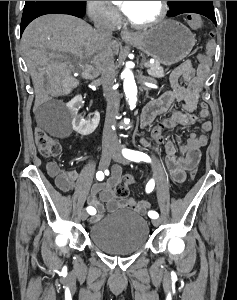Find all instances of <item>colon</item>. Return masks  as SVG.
I'll return each mask as SVG.
<instances>
[{"instance_id": "5ec220e1", "label": "colon", "mask_w": 237, "mask_h": 300, "mask_svg": "<svg viewBox=\"0 0 237 300\" xmlns=\"http://www.w3.org/2000/svg\"><path fill=\"white\" fill-rule=\"evenodd\" d=\"M187 22L192 28L203 27V19L198 14H189ZM216 51V43L211 40L208 43V52L205 55L198 57L199 64L204 67H209L212 62V57ZM36 146L39 153L44 157H53L61 153V146L58 141L49 136L43 129L39 128L36 131ZM197 175L196 167L190 170V177L193 179ZM133 183V178L130 176L123 177L115 187V196L119 199H124L129 194V186Z\"/></svg>"}]
</instances>
